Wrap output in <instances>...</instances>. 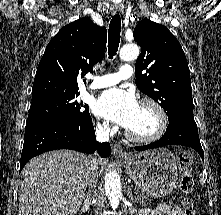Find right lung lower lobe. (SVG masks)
Masks as SVG:
<instances>
[{
	"instance_id": "98d812e1",
	"label": "right lung lower lobe",
	"mask_w": 221,
	"mask_h": 215,
	"mask_svg": "<svg viewBox=\"0 0 221 215\" xmlns=\"http://www.w3.org/2000/svg\"><path fill=\"white\" fill-rule=\"evenodd\" d=\"M72 149L83 153H94L101 157L111 154L109 143L96 142L91 117L77 124L59 121H44L26 125L20 171L33 157L51 150Z\"/></svg>"
}]
</instances>
